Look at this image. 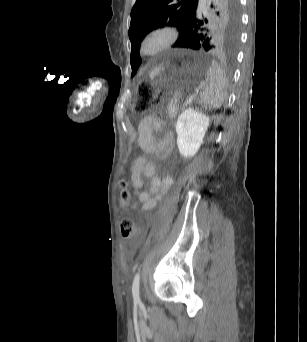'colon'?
Wrapping results in <instances>:
<instances>
[{
    "mask_svg": "<svg viewBox=\"0 0 307 342\" xmlns=\"http://www.w3.org/2000/svg\"><path fill=\"white\" fill-rule=\"evenodd\" d=\"M138 89L140 94H151V82H138ZM159 103V99H152L146 95H141V100L135 104L137 112L152 111ZM121 199L124 201L123 209L126 212H132L137 207L135 200H129L130 190L125 181L120 182ZM120 228L123 238L131 239L137 232L135 222L131 218H124L120 221Z\"/></svg>",
    "mask_w": 307,
    "mask_h": 342,
    "instance_id": "colon-1",
    "label": "colon"
}]
</instances>
